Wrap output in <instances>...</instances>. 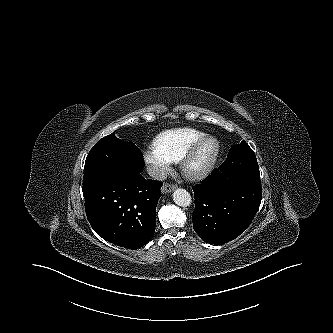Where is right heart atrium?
Masks as SVG:
<instances>
[{
	"mask_svg": "<svg viewBox=\"0 0 333 333\" xmlns=\"http://www.w3.org/2000/svg\"><path fill=\"white\" fill-rule=\"evenodd\" d=\"M144 161L151 166L155 178H162L171 169L172 162L153 150L144 152Z\"/></svg>",
	"mask_w": 333,
	"mask_h": 333,
	"instance_id": "obj_1",
	"label": "right heart atrium"
}]
</instances>
